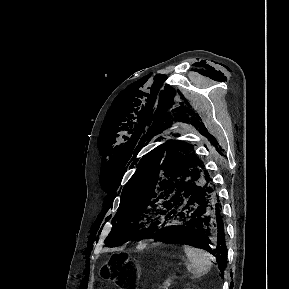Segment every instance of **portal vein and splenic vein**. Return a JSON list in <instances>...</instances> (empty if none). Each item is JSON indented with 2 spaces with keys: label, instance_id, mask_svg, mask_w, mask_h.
I'll return each instance as SVG.
<instances>
[{
  "label": "portal vein and splenic vein",
  "instance_id": "1",
  "mask_svg": "<svg viewBox=\"0 0 289 289\" xmlns=\"http://www.w3.org/2000/svg\"><path fill=\"white\" fill-rule=\"evenodd\" d=\"M171 284H172V279L165 280L163 283V289H168V287H170Z\"/></svg>",
  "mask_w": 289,
  "mask_h": 289
}]
</instances>
